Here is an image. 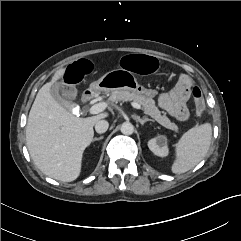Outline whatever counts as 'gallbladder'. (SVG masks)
I'll return each mask as SVG.
<instances>
[{
	"mask_svg": "<svg viewBox=\"0 0 241 241\" xmlns=\"http://www.w3.org/2000/svg\"><path fill=\"white\" fill-rule=\"evenodd\" d=\"M63 89V90H62ZM65 92L63 96L60 95V91ZM50 93L52 97L62 106L66 108L73 107V104L71 102V98H74L76 96V89L74 87H69L67 89H64V85L62 83H53L50 87Z\"/></svg>",
	"mask_w": 241,
	"mask_h": 241,
	"instance_id": "1",
	"label": "gallbladder"
}]
</instances>
